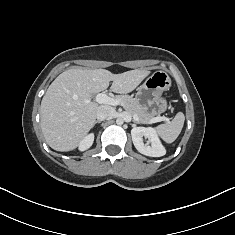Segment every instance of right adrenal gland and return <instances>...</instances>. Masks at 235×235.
<instances>
[{"label": "right adrenal gland", "instance_id": "obj_1", "mask_svg": "<svg viewBox=\"0 0 235 235\" xmlns=\"http://www.w3.org/2000/svg\"><path fill=\"white\" fill-rule=\"evenodd\" d=\"M97 123H101V121H99V120L95 121L94 125L97 124Z\"/></svg>", "mask_w": 235, "mask_h": 235}]
</instances>
